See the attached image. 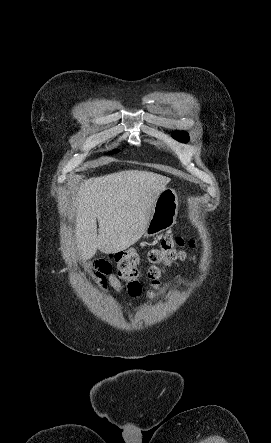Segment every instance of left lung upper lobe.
I'll return each mask as SVG.
<instances>
[{"mask_svg": "<svg viewBox=\"0 0 271 443\" xmlns=\"http://www.w3.org/2000/svg\"><path fill=\"white\" fill-rule=\"evenodd\" d=\"M172 137L183 143H186L189 140V135L185 131H174Z\"/></svg>", "mask_w": 271, "mask_h": 443, "instance_id": "obj_1", "label": "left lung upper lobe"}]
</instances>
